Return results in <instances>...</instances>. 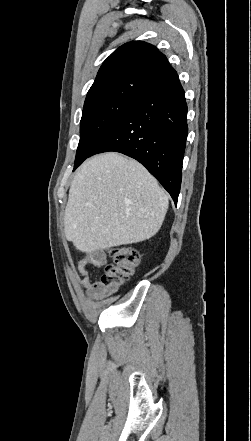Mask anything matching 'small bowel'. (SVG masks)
I'll use <instances>...</instances> for the list:
<instances>
[{
	"label": "small bowel",
	"mask_w": 251,
	"mask_h": 441,
	"mask_svg": "<svg viewBox=\"0 0 251 441\" xmlns=\"http://www.w3.org/2000/svg\"><path fill=\"white\" fill-rule=\"evenodd\" d=\"M106 263V257L101 252H93L82 256L76 262L79 273V284L85 290L87 296L91 299H101L114 293L118 286H106L97 281L92 283L89 277L87 266L92 264L96 267H102Z\"/></svg>",
	"instance_id": "obj_1"
}]
</instances>
